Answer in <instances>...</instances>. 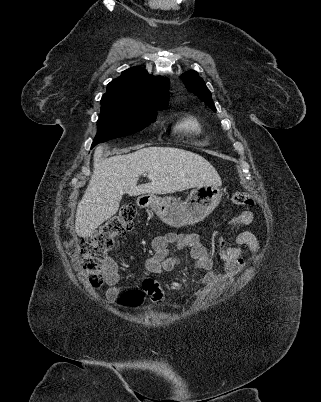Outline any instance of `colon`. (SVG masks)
Returning a JSON list of instances; mask_svg holds the SVG:
<instances>
[{"label":"colon","instance_id":"5ec220e1","mask_svg":"<svg viewBox=\"0 0 321 402\" xmlns=\"http://www.w3.org/2000/svg\"><path fill=\"white\" fill-rule=\"evenodd\" d=\"M231 201L237 206L254 205L252 196L245 192H235L231 196ZM135 215L134 207L123 206L116 215L81 239L82 266L92 287L103 286L106 280L105 260L107 254L114 248L116 239L131 230ZM142 301L143 293L138 289L129 290L120 297V304L127 309L138 308Z\"/></svg>","mask_w":321,"mask_h":402}]
</instances>
